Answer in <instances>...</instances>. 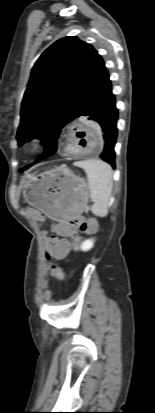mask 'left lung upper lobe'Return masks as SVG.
<instances>
[{
    "mask_svg": "<svg viewBox=\"0 0 155 413\" xmlns=\"http://www.w3.org/2000/svg\"><path fill=\"white\" fill-rule=\"evenodd\" d=\"M104 68L97 51L77 37L61 38L45 50L24 94L18 144L39 136L45 147L39 159L55 153L61 129L79 117L81 105Z\"/></svg>",
    "mask_w": 155,
    "mask_h": 413,
    "instance_id": "1",
    "label": "left lung upper lobe"
}]
</instances>
